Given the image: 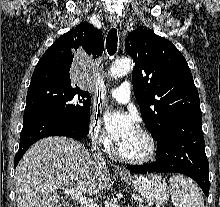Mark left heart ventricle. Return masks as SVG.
Returning a JSON list of instances; mask_svg holds the SVG:
<instances>
[{
    "label": "left heart ventricle",
    "mask_w": 220,
    "mask_h": 207,
    "mask_svg": "<svg viewBox=\"0 0 220 207\" xmlns=\"http://www.w3.org/2000/svg\"><path fill=\"white\" fill-rule=\"evenodd\" d=\"M118 146L121 153L130 158L144 157L149 151L148 141L137 129Z\"/></svg>",
    "instance_id": "b2bd125f"
}]
</instances>
